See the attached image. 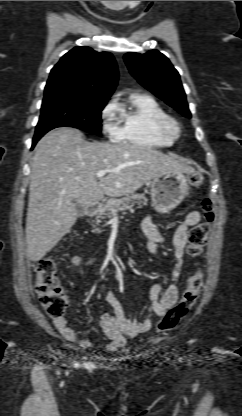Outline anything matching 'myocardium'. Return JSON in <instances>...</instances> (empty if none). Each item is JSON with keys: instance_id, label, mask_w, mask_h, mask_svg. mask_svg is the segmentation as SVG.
<instances>
[{"instance_id": "obj_1", "label": "myocardium", "mask_w": 242, "mask_h": 416, "mask_svg": "<svg viewBox=\"0 0 242 416\" xmlns=\"http://www.w3.org/2000/svg\"><path fill=\"white\" fill-rule=\"evenodd\" d=\"M161 130L174 138L179 137L181 133L180 123L173 117L167 116L160 122Z\"/></svg>"}]
</instances>
